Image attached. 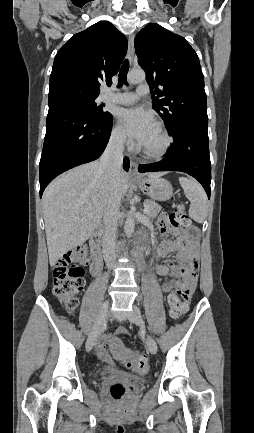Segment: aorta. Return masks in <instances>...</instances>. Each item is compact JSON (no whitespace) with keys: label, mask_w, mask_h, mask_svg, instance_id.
I'll use <instances>...</instances> for the list:
<instances>
[{"label":"aorta","mask_w":254,"mask_h":433,"mask_svg":"<svg viewBox=\"0 0 254 433\" xmlns=\"http://www.w3.org/2000/svg\"><path fill=\"white\" fill-rule=\"evenodd\" d=\"M130 84H138L145 80V72L143 70H132L127 76ZM135 222L132 215H129L125 221L124 232L127 237H131L134 232Z\"/></svg>","instance_id":"aorta-1"}]
</instances>
